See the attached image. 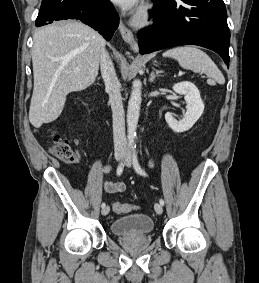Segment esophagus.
<instances>
[{
	"label": "esophagus",
	"mask_w": 259,
	"mask_h": 283,
	"mask_svg": "<svg viewBox=\"0 0 259 283\" xmlns=\"http://www.w3.org/2000/svg\"><path fill=\"white\" fill-rule=\"evenodd\" d=\"M119 31L123 40L130 45L134 52H137L139 48L138 43L135 41L132 31L128 29L122 21L119 24Z\"/></svg>",
	"instance_id": "obj_1"
}]
</instances>
